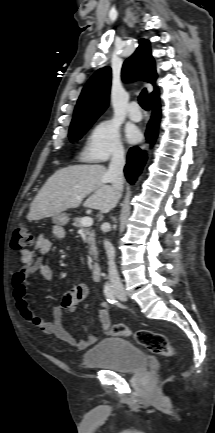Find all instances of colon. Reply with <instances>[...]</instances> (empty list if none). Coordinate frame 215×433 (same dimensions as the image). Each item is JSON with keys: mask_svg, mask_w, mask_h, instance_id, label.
I'll return each mask as SVG.
<instances>
[{"mask_svg": "<svg viewBox=\"0 0 215 433\" xmlns=\"http://www.w3.org/2000/svg\"><path fill=\"white\" fill-rule=\"evenodd\" d=\"M32 243L33 234L30 228L25 223H17L13 232L12 247L22 249ZM108 334L111 336H132L139 345L154 354L169 358L176 355V348L169 343L162 333L145 329L132 331L124 324H114L109 328Z\"/></svg>", "mask_w": 215, "mask_h": 433, "instance_id": "1", "label": "colon"}]
</instances>
